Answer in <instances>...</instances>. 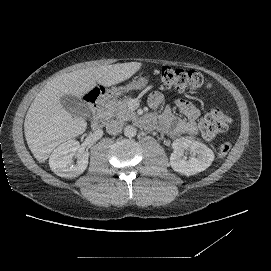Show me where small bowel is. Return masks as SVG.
<instances>
[{
    "label": "small bowel",
    "mask_w": 271,
    "mask_h": 271,
    "mask_svg": "<svg viewBox=\"0 0 271 271\" xmlns=\"http://www.w3.org/2000/svg\"><path fill=\"white\" fill-rule=\"evenodd\" d=\"M164 103V96L160 92H153L148 97L151 108L157 109ZM176 107L182 114L177 117L170 107H166L159 116L160 127L173 136L198 134L197 120L200 117V109L194 103L187 100H177Z\"/></svg>",
    "instance_id": "small-bowel-1"
}]
</instances>
